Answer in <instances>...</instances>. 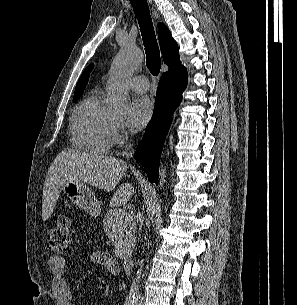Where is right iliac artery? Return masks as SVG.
<instances>
[{
  "label": "right iliac artery",
  "mask_w": 297,
  "mask_h": 305,
  "mask_svg": "<svg viewBox=\"0 0 297 305\" xmlns=\"http://www.w3.org/2000/svg\"><path fill=\"white\" fill-rule=\"evenodd\" d=\"M134 302V297L129 296L128 298H126L124 305H134Z\"/></svg>",
  "instance_id": "1"
}]
</instances>
